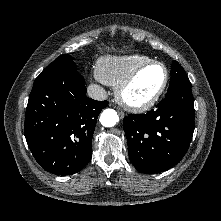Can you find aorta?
<instances>
[{"mask_svg": "<svg viewBox=\"0 0 221 221\" xmlns=\"http://www.w3.org/2000/svg\"><path fill=\"white\" fill-rule=\"evenodd\" d=\"M99 121L104 127H113L118 123L119 117L114 109L108 108L101 113Z\"/></svg>", "mask_w": 221, "mask_h": 221, "instance_id": "aorta-1", "label": "aorta"}]
</instances>
